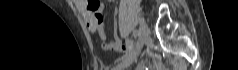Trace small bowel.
Wrapping results in <instances>:
<instances>
[{"label":"small bowel","instance_id":"1","mask_svg":"<svg viewBox=\"0 0 238 70\" xmlns=\"http://www.w3.org/2000/svg\"><path fill=\"white\" fill-rule=\"evenodd\" d=\"M76 6L89 32L98 34L101 40V47L104 50L114 52L129 51L131 42H122L118 36L116 19H114V41L107 42V36L103 26L102 4L98 0H76Z\"/></svg>","mask_w":238,"mask_h":70}]
</instances>
